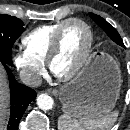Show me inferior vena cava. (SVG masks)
Wrapping results in <instances>:
<instances>
[{
    "label": "inferior vena cava",
    "mask_w": 130,
    "mask_h": 130,
    "mask_svg": "<svg viewBox=\"0 0 130 130\" xmlns=\"http://www.w3.org/2000/svg\"><path fill=\"white\" fill-rule=\"evenodd\" d=\"M20 76L22 82L30 87H36L42 83L41 77L38 74H35L30 71H25L21 73Z\"/></svg>",
    "instance_id": "602c4592"
}]
</instances>
